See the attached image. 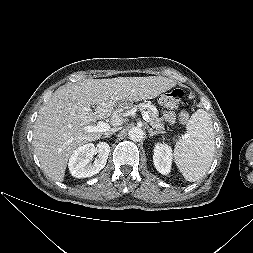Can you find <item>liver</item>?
<instances>
[{
  "label": "liver",
  "mask_w": 253,
  "mask_h": 253,
  "mask_svg": "<svg viewBox=\"0 0 253 253\" xmlns=\"http://www.w3.org/2000/svg\"><path fill=\"white\" fill-rule=\"evenodd\" d=\"M175 85L172 79L149 76L86 79L58 88L34 124L33 146L45 174L62 182L77 147L101 138L102 132L83 131L85 125L113 115L112 129H117L122 124L115 112L120 103L153 99Z\"/></svg>",
  "instance_id": "6515ba94"
}]
</instances>
